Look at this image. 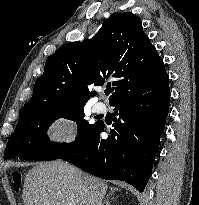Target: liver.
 Segmentation results:
<instances>
[{"label":"liver","mask_w":199,"mask_h":205,"mask_svg":"<svg viewBox=\"0 0 199 205\" xmlns=\"http://www.w3.org/2000/svg\"><path fill=\"white\" fill-rule=\"evenodd\" d=\"M108 185L63 161L38 163L26 175L24 205H102Z\"/></svg>","instance_id":"1"}]
</instances>
